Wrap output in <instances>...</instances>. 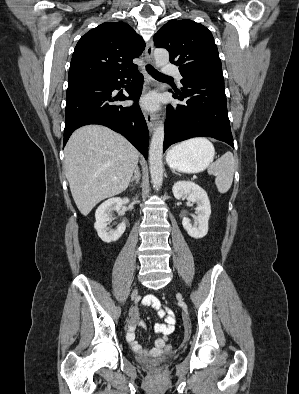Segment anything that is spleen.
Returning a JSON list of instances; mask_svg holds the SVG:
<instances>
[{
	"label": "spleen",
	"instance_id": "1",
	"mask_svg": "<svg viewBox=\"0 0 299 394\" xmlns=\"http://www.w3.org/2000/svg\"><path fill=\"white\" fill-rule=\"evenodd\" d=\"M187 143H201L205 145H212L207 139L198 138L184 142L180 144V146ZM207 171L209 174L216 175L215 184L219 193H227L232 185L235 171V159L233 157V154L230 151L226 152L219 159L213 162L208 167Z\"/></svg>",
	"mask_w": 299,
	"mask_h": 394
}]
</instances>
